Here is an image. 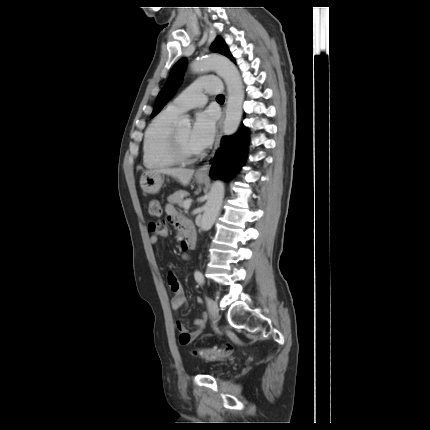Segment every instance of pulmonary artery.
<instances>
[{
  "label": "pulmonary artery",
  "instance_id": "1",
  "mask_svg": "<svg viewBox=\"0 0 430 430\" xmlns=\"http://www.w3.org/2000/svg\"><path fill=\"white\" fill-rule=\"evenodd\" d=\"M219 82L214 78H200L190 84L168 106L172 112L182 114L188 110L202 107L207 102L206 94H218Z\"/></svg>",
  "mask_w": 430,
  "mask_h": 430
}]
</instances>
